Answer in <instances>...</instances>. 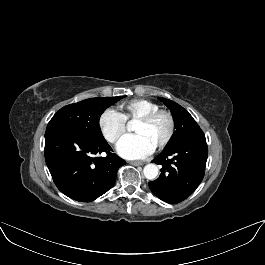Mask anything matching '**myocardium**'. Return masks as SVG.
Returning <instances> with one entry per match:
<instances>
[{
	"label": "myocardium",
	"mask_w": 265,
	"mask_h": 265,
	"mask_svg": "<svg viewBox=\"0 0 265 265\" xmlns=\"http://www.w3.org/2000/svg\"><path fill=\"white\" fill-rule=\"evenodd\" d=\"M159 116H164L167 119L168 129H167V132H166L164 138L162 139V141L156 147H154V151L162 150L171 141V139H172V137L174 135V132H175V119H174V116L168 110L157 109V110H153V111L141 116L140 118H138L135 121V123L148 124V123H150L151 121H153L155 118H157Z\"/></svg>",
	"instance_id": "f54148a6"
}]
</instances>
